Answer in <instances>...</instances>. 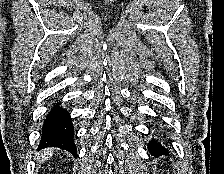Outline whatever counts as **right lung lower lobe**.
<instances>
[{"label": "right lung lower lobe", "instance_id": "98d812e1", "mask_svg": "<svg viewBox=\"0 0 224 174\" xmlns=\"http://www.w3.org/2000/svg\"><path fill=\"white\" fill-rule=\"evenodd\" d=\"M73 138L74 127L70 114L58 104L54 105L44 121L39 148L58 147L76 157L77 149Z\"/></svg>", "mask_w": 224, "mask_h": 174}]
</instances>
